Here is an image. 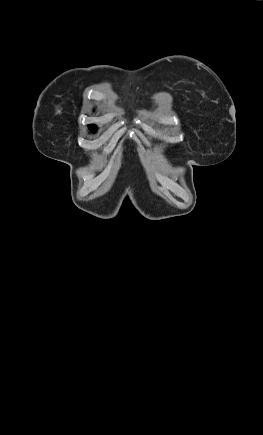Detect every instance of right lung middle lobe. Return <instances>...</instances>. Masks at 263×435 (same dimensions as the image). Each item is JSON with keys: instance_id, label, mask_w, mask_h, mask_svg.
I'll return each instance as SVG.
<instances>
[{"instance_id": "dd1d6c3e", "label": "right lung middle lobe", "mask_w": 263, "mask_h": 435, "mask_svg": "<svg viewBox=\"0 0 263 435\" xmlns=\"http://www.w3.org/2000/svg\"><path fill=\"white\" fill-rule=\"evenodd\" d=\"M91 131H95V128H90Z\"/></svg>"}]
</instances>
